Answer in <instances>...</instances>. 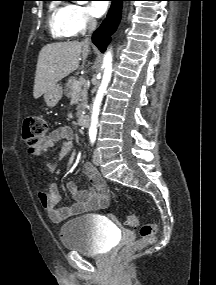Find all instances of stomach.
I'll use <instances>...</instances> for the list:
<instances>
[{
  "label": "stomach",
  "instance_id": "stomach-1",
  "mask_svg": "<svg viewBox=\"0 0 216 285\" xmlns=\"http://www.w3.org/2000/svg\"><path fill=\"white\" fill-rule=\"evenodd\" d=\"M62 87L56 84L52 89L44 93V101L48 107H54L62 98Z\"/></svg>",
  "mask_w": 216,
  "mask_h": 285
}]
</instances>
